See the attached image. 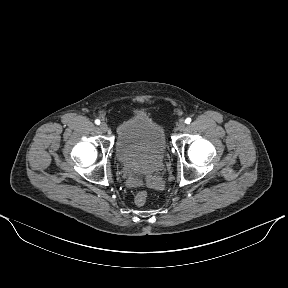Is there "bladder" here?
Returning a JSON list of instances; mask_svg holds the SVG:
<instances>
[{"label": "bladder", "mask_w": 288, "mask_h": 288, "mask_svg": "<svg viewBox=\"0 0 288 288\" xmlns=\"http://www.w3.org/2000/svg\"><path fill=\"white\" fill-rule=\"evenodd\" d=\"M115 152L128 169L149 174L163 162L167 152L163 128L144 113H136L117 128Z\"/></svg>", "instance_id": "bladder-1"}]
</instances>
